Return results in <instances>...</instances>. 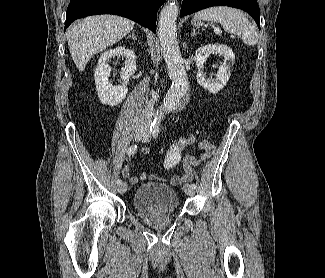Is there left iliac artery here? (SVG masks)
<instances>
[{
    "label": "left iliac artery",
    "mask_w": 325,
    "mask_h": 278,
    "mask_svg": "<svg viewBox=\"0 0 325 278\" xmlns=\"http://www.w3.org/2000/svg\"><path fill=\"white\" fill-rule=\"evenodd\" d=\"M150 131L153 135V137H158L159 134V126L157 124H152L150 127ZM193 189H196V185L193 183L190 185Z\"/></svg>",
    "instance_id": "44dca946"
}]
</instances>
